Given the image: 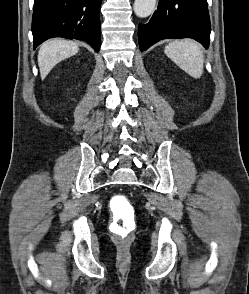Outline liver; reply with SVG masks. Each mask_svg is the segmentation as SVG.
Returning a JSON list of instances; mask_svg holds the SVG:
<instances>
[{
	"instance_id": "obj_1",
	"label": "liver",
	"mask_w": 249,
	"mask_h": 294,
	"mask_svg": "<svg viewBox=\"0 0 249 294\" xmlns=\"http://www.w3.org/2000/svg\"><path fill=\"white\" fill-rule=\"evenodd\" d=\"M78 51V45L73 41L52 39L43 43L38 52L41 79H45L57 63L75 55Z\"/></svg>"
}]
</instances>
